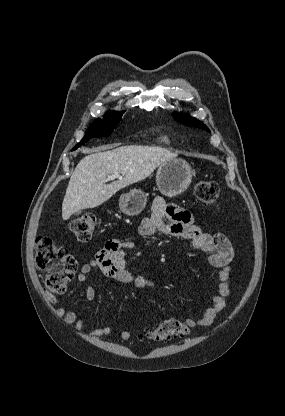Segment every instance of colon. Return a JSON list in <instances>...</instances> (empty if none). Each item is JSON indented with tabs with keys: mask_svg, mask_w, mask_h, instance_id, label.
<instances>
[{
	"mask_svg": "<svg viewBox=\"0 0 285 416\" xmlns=\"http://www.w3.org/2000/svg\"><path fill=\"white\" fill-rule=\"evenodd\" d=\"M194 195L204 205H215L219 197V188L214 181H199L194 187ZM96 225V217L85 214L69 223L70 231L81 242L91 239ZM36 264L45 273L46 288L56 294L66 291L76 270L77 261L68 250L47 237L36 240ZM189 333V327L176 319H166L156 328L144 332L141 337L157 342L181 338Z\"/></svg>",
	"mask_w": 285,
	"mask_h": 416,
	"instance_id": "5ec220e1",
	"label": "colon"
}]
</instances>
